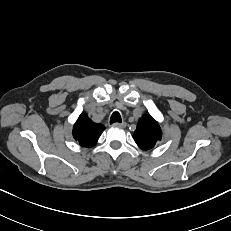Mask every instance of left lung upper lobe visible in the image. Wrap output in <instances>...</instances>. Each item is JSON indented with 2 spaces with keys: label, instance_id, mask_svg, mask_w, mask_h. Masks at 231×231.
<instances>
[{
  "label": "left lung upper lobe",
  "instance_id": "obj_1",
  "mask_svg": "<svg viewBox=\"0 0 231 231\" xmlns=\"http://www.w3.org/2000/svg\"><path fill=\"white\" fill-rule=\"evenodd\" d=\"M162 132L159 124L150 115L141 117L133 138L137 145L144 150L153 148L158 140L161 139Z\"/></svg>",
  "mask_w": 231,
  "mask_h": 231
}]
</instances>
